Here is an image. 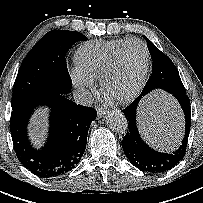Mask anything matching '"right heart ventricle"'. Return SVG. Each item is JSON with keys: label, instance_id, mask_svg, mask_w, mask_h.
I'll return each mask as SVG.
<instances>
[{"label": "right heart ventricle", "instance_id": "e07e8e85", "mask_svg": "<svg viewBox=\"0 0 203 203\" xmlns=\"http://www.w3.org/2000/svg\"><path fill=\"white\" fill-rule=\"evenodd\" d=\"M127 40L98 41L80 46L75 53L77 67L89 78L101 80L115 52Z\"/></svg>", "mask_w": 203, "mask_h": 203}]
</instances>
